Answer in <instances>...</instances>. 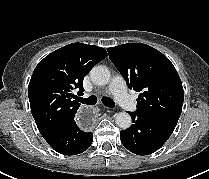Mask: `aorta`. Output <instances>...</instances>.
<instances>
[{
	"mask_svg": "<svg viewBox=\"0 0 209 179\" xmlns=\"http://www.w3.org/2000/svg\"><path fill=\"white\" fill-rule=\"evenodd\" d=\"M90 78L96 85H106L110 81V71L105 66H95L90 71ZM115 121L122 129L129 128L132 123L131 116L127 112H119L116 114Z\"/></svg>",
	"mask_w": 209,
	"mask_h": 179,
	"instance_id": "obj_1",
	"label": "aorta"
}]
</instances>
